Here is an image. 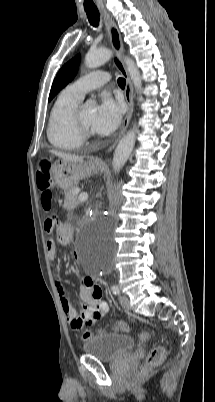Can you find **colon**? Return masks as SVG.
Segmentation results:
<instances>
[{
	"instance_id": "colon-1",
	"label": "colon",
	"mask_w": 215,
	"mask_h": 402,
	"mask_svg": "<svg viewBox=\"0 0 215 402\" xmlns=\"http://www.w3.org/2000/svg\"><path fill=\"white\" fill-rule=\"evenodd\" d=\"M52 164V156H41L37 164L36 183L38 189L41 191V199L45 209H50L53 201V178L51 171ZM55 222L56 221L54 218H47L44 221V228L46 230H51L54 227ZM114 329L119 332H126L128 331L129 327L125 322L119 321L115 324ZM93 334V332L87 331L84 333L83 338L87 340L91 338ZM140 337L141 339L146 340L148 339L149 335L148 333L143 332L141 333ZM165 354L166 352L163 347L153 348L146 357V368H152L159 365L164 360Z\"/></svg>"
}]
</instances>
